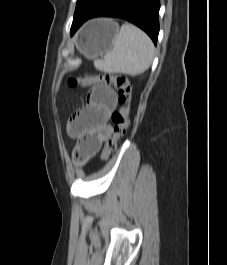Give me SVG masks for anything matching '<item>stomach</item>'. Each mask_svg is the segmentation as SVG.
I'll return each instance as SVG.
<instances>
[{
	"instance_id": "1",
	"label": "stomach",
	"mask_w": 227,
	"mask_h": 265,
	"mask_svg": "<svg viewBox=\"0 0 227 265\" xmlns=\"http://www.w3.org/2000/svg\"><path fill=\"white\" fill-rule=\"evenodd\" d=\"M119 32L118 25L110 19H95L87 24L78 40V49L88 59L111 50Z\"/></svg>"
}]
</instances>
